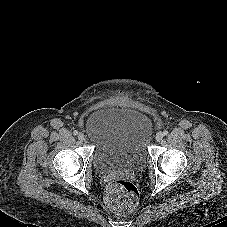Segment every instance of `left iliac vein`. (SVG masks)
I'll return each mask as SVG.
<instances>
[{
  "instance_id": "obj_1",
  "label": "left iliac vein",
  "mask_w": 227,
  "mask_h": 227,
  "mask_svg": "<svg viewBox=\"0 0 227 227\" xmlns=\"http://www.w3.org/2000/svg\"><path fill=\"white\" fill-rule=\"evenodd\" d=\"M164 137V134L162 132H158L155 136V139L160 142Z\"/></svg>"
}]
</instances>
